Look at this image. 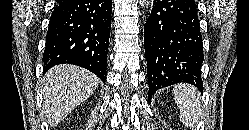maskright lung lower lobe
I'll return each instance as SVG.
<instances>
[{"mask_svg":"<svg viewBox=\"0 0 249 130\" xmlns=\"http://www.w3.org/2000/svg\"><path fill=\"white\" fill-rule=\"evenodd\" d=\"M111 0H66L53 10L43 54L44 71L73 64L106 79Z\"/></svg>","mask_w":249,"mask_h":130,"instance_id":"obj_1","label":"right lung lower lobe"}]
</instances>
